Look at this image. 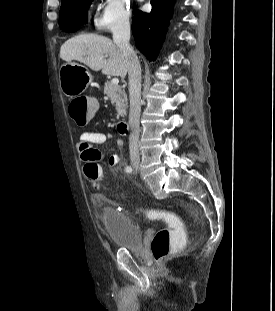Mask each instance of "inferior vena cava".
Wrapping results in <instances>:
<instances>
[{"label": "inferior vena cava", "mask_w": 275, "mask_h": 311, "mask_svg": "<svg viewBox=\"0 0 275 311\" xmlns=\"http://www.w3.org/2000/svg\"><path fill=\"white\" fill-rule=\"evenodd\" d=\"M129 21L121 22L113 31L114 43L129 57V125L131 129L129 137L130 158L139 160V119L141 113V66L139 60L129 44Z\"/></svg>", "instance_id": "inferior-vena-cava-1"}]
</instances>
